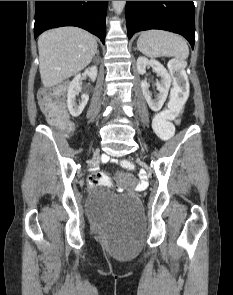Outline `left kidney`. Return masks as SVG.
<instances>
[{
  "mask_svg": "<svg viewBox=\"0 0 233 295\" xmlns=\"http://www.w3.org/2000/svg\"><path fill=\"white\" fill-rule=\"evenodd\" d=\"M147 66H151L161 78V81L156 83L157 90L159 91L158 98L156 100L152 99L149 85L145 80L141 82V88L150 109L153 111H159L167 99L172 80L166 68L159 61L155 59L149 60L146 57L140 56L136 62L138 73L142 75L146 73Z\"/></svg>",
  "mask_w": 233,
  "mask_h": 295,
  "instance_id": "left-kidney-1",
  "label": "left kidney"
}]
</instances>
